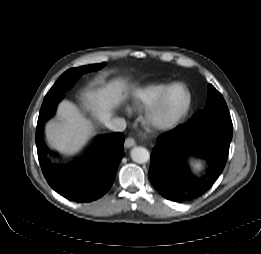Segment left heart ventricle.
Wrapping results in <instances>:
<instances>
[{
	"instance_id": "left-heart-ventricle-1",
	"label": "left heart ventricle",
	"mask_w": 261,
	"mask_h": 254,
	"mask_svg": "<svg viewBox=\"0 0 261 254\" xmlns=\"http://www.w3.org/2000/svg\"><path fill=\"white\" fill-rule=\"evenodd\" d=\"M187 99L186 92L181 88L172 90L164 104V112L166 115H174L180 111Z\"/></svg>"
}]
</instances>
